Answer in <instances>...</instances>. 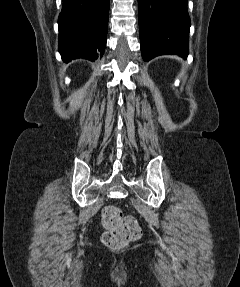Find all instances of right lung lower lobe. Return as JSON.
<instances>
[{"label":"right lung lower lobe","instance_id":"1","mask_svg":"<svg viewBox=\"0 0 240 287\" xmlns=\"http://www.w3.org/2000/svg\"><path fill=\"white\" fill-rule=\"evenodd\" d=\"M109 0H63L58 18V50L64 62L94 61L102 56L107 37Z\"/></svg>","mask_w":240,"mask_h":287}]
</instances>
